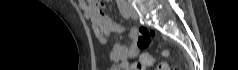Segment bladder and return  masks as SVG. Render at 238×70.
Segmentation results:
<instances>
[{
	"label": "bladder",
	"mask_w": 238,
	"mask_h": 70,
	"mask_svg": "<svg viewBox=\"0 0 238 70\" xmlns=\"http://www.w3.org/2000/svg\"><path fill=\"white\" fill-rule=\"evenodd\" d=\"M110 70H123V69L120 67H111Z\"/></svg>",
	"instance_id": "obj_1"
}]
</instances>
